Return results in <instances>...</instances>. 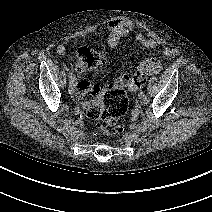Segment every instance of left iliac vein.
<instances>
[{
	"label": "left iliac vein",
	"instance_id": "left-iliac-vein-1",
	"mask_svg": "<svg viewBox=\"0 0 212 212\" xmlns=\"http://www.w3.org/2000/svg\"><path fill=\"white\" fill-rule=\"evenodd\" d=\"M138 97H139V99H142V102L145 104V101H144V92L143 91H140L138 93Z\"/></svg>",
	"mask_w": 212,
	"mask_h": 212
}]
</instances>
